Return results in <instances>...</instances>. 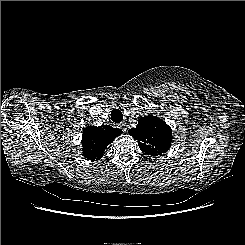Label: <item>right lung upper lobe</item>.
Instances as JSON below:
<instances>
[{"label": "right lung upper lobe", "instance_id": "cb5924a9", "mask_svg": "<svg viewBox=\"0 0 245 245\" xmlns=\"http://www.w3.org/2000/svg\"><path fill=\"white\" fill-rule=\"evenodd\" d=\"M122 131L110 125L103 127L89 126L83 130L82 149L87 159L92 161L103 156L107 146L119 136Z\"/></svg>", "mask_w": 245, "mask_h": 245}]
</instances>
